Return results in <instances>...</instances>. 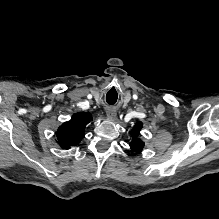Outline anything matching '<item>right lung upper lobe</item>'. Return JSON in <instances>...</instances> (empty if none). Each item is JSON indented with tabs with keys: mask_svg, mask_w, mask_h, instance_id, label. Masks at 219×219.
<instances>
[{
	"mask_svg": "<svg viewBox=\"0 0 219 219\" xmlns=\"http://www.w3.org/2000/svg\"><path fill=\"white\" fill-rule=\"evenodd\" d=\"M92 119L90 113L78 112L72 119L63 123L57 130V139L63 149L76 146L84 137L85 126Z\"/></svg>",
	"mask_w": 219,
	"mask_h": 219,
	"instance_id": "cb5924a9",
	"label": "right lung upper lobe"
}]
</instances>
